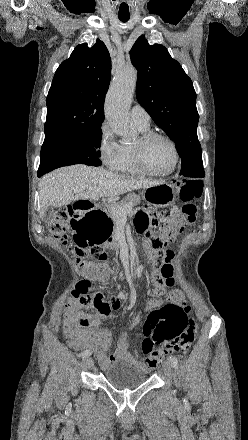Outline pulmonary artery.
Masks as SVG:
<instances>
[{"label": "pulmonary artery", "mask_w": 248, "mask_h": 440, "mask_svg": "<svg viewBox=\"0 0 248 440\" xmlns=\"http://www.w3.org/2000/svg\"><path fill=\"white\" fill-rule=\"evenodd\" d=\"M131 117L135 125L149 127L150 116L148 112L139 104H135L131 109Z\"/></svg>", "instance_id": "1"}]
</instances>
